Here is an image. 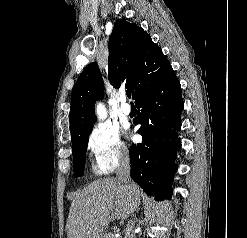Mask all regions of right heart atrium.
Segmentation results:
<instances>
[{
  "mask_svg": "<svg viewBox=\"0 0 247 238\" xmlns=\"http://www.w3.org/2000/svg\"><path fill=\"white\" fill-rule=\"evenodd\" d=\"M87 146L96 165L103 172L114 171L129 157L128 148L121 140L118 130L107 123H100L92 128Z\"/></svg>",
  "mask_w": 247,
  "mask_h": 238,
  "instance_id": "1",
  "label": "right heart atrium"
}]
</instances>
